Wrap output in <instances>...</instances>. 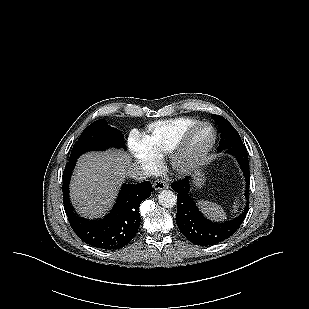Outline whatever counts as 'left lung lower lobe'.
I'll return each instance as SVG.
<instances>
[{
  "instance_id": "obj_1",
  "label": "left lung lower lobe",
  "mask_w": 309,
  "mask_h": 309,
  "mask_svg": "<svg viewBox=\"0 0 309 309\" xmlns=\"http://www.w3.org/2000/svg\"><path fill=\"white\" fill-rule=\"evenodd\" d=\"M223 150L235 156V158L240 164L246 180L245 197L247 200V204L242 214H240L237 218L224 223L212 222L205 218L196 207V204L193 201L189 192V178H184L182 180L174 182L171 185L172 189L177 192L178 205L176 223L182 234L190 242L196 245H214L231 237L241 226L249 208L248 192L250 172L247 149L245 145H237L225 148Z\"/></svg>"
}]
</instances>
